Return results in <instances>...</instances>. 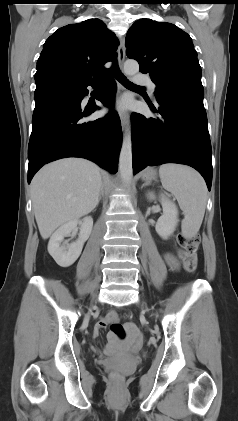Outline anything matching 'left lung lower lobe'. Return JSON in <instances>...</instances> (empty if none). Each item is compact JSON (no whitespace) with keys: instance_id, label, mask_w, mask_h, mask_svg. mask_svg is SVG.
<instances>
[{"instance_id":"left-lung-lower-lobe-1","label":"left lung lower lobe","mask_w":238,"mask_h":421,"mask_svg":"<svg viewBox=\"0 0 238 421\" xmlns=\"http://www.w3.org/2000/svg\"><path fill=\"white\" fill-rule=\"evenodd\" d=\"M160 119L132 113L133 173L163 163L186 164L212 183V151L204 89L199 81L181 83L155 93ZM150 108L156 112L150 103Z\"/></svg>"}]
</instances>
